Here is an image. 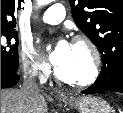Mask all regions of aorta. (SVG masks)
<instances>
[{"instance_id":"obj_1","label":"aorta","mask_w":123,"mask_h":113,"mask_svg":"<svg viewBox=\"0 0 123 113\" xmlns=\"http://www.w3.org/2000/svg\"><path fill=\"white\" fill-rule=\"evenodd\" d=\"M52 2V0H37V4L39 6H42V5H46L48 3ZM48 49H50V47H48Z\"/></svg>"}]
</instances>
